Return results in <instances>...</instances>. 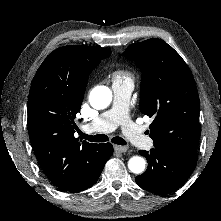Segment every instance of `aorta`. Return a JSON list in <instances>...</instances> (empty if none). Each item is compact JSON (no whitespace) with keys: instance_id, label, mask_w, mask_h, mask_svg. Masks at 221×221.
<instances>
[{"instance_id":"762f6f07","label":"aorta","mask_w":221,"mask_h":221,"mask_svg":"<svg viewBox=\"0 0 221 221\" xmlns=\"http://www.w3.org/2000/svg\"><path fill=\"white\" fill-rule=\"evenodd\" d=\"M112 101V92L106 86L95 87L89 96V102L95 109H104L109 106ZM146 162L140 156H133L128 161V168L134 174H141L145 170Z\"/></svg>"}]
</instances>
